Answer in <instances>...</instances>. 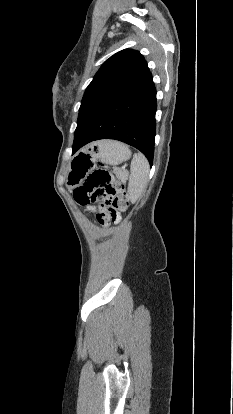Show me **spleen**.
<instances>
[{
	"label": "spleen",
	"mask_w": 233,
	"mask_h": 414,
	"mask_svg": "<svg viewBox=\"0 0 233 414\" xmlns=\"http://www.w3.org/2000/svg\"><path fill=\"white\" fill-rule=\"evenodd\" d=\"M128 198L136 203L142 196L148 182L149 163L141 153L134 154L130 166Z\"/></svg>",
	"instance_id": "spleen-1"
}]
</instances>
